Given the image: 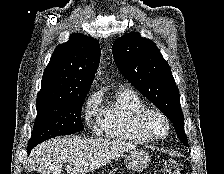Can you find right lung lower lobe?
Returning <instances> with one entry per match:
<instances>
[{"label":"right lung lower lobe","mask_w":224,"mask_h":174,"mask_svg":"<svg viewBox=\"0 0 224 174\" xmlns=\"http://www.w3.org/2000/svg\"><path fill=\"white\" fill-rule=\"evenodd\" d=\"M34 147H35V146L28 147V153H29Z\"/></svg>","instance_id":"right-lung-lower-lobe-1"}]
</instances>
